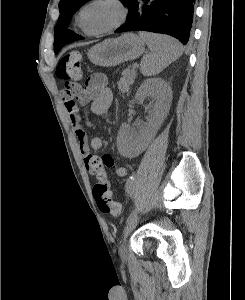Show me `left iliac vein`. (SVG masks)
<instances>
[{
  "instance_id": "obj_1",
  "label": "left iliac vein",
  "mask_w": 245,
  "mask_h": 300,
  "mask_svg": "<svg viewBox=\"0 0 245 300\" xmlns=\"http://www.w3.org/2000/svg\"><path fill=\"white\" fill-rule=\"evenodd\" d=\"M138 221H139V217L138 216L134 217L132 220H130L127 223V225L124 229L123 239L119 246V255L122 259H126V256H127L126 239H127L128 235L135 229V227L138 224Z\"/></svg>"
}]
</instances>
